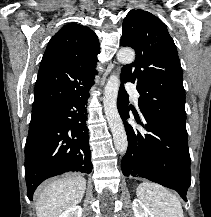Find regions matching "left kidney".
I'll return each mask as SVG.
<instances>
[{"label": "left kidney", "instance_id": "5707ae66", "mask_svg": "<svg viewBox=\"0 0 211 217\" xmlns=\"http://www.w3.org/2000/svg\"><path fill=\"white\" fill-rule=\"evenodd\" d=\"M132 207L135 217H154L145 204L139 199L133 201Z\"/></svg>", "mask_w": 211, "mask_h": 217}]
</instances>
